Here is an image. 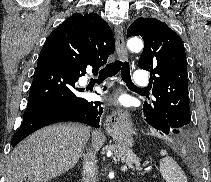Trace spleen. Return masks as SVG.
Returning <instances> with one entry per match:
<instances>
[{"mask_svg":"<svg viewBox=\"0 0 211 182\" xmlns=\"http://www.w3.org/2000/svg\"><path fill=\"white\" fill-rule=\"evenodd\" d=\"M160 155V173L166 182H188L187 177L177 164V162L168 155L166 150H161Z\"/></svg>","mask_w":211,"mask_h":182,"instance_id":"1","label":"spleen"}]
</instances>
